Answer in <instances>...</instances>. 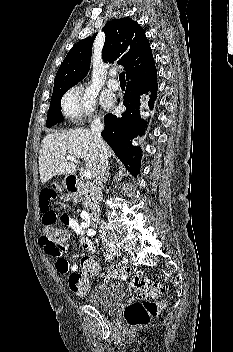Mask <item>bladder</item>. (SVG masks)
<instances>
[{"label":"bladder","instance_id":"obj_1","mask_svg":"<svg viewBox=\"0 0 233 352\" xmlns=\"http://www.w3.org/2000/svg\"><path fill=\"white\" fill-rule=\"evenodd\" d=\"M126 297L124 288L117 283L101 284L90 295V304L108 314L115 313Z\"/></svg>","mask_w":233,"mask_h":352}]
</instances>
